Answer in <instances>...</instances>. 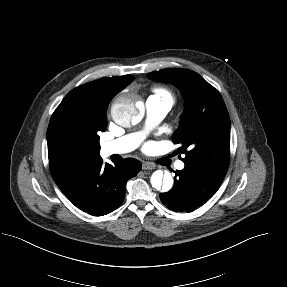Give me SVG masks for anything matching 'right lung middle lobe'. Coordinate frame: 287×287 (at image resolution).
Listing matches in <instances>:
<instances>
[{"label": "right lung middle lobe", "mask_w": 287, "mask_h": 287, "mask_svg": "<svg viewBox=\"0 0 287 287\" xmlns=\"http://www.w3.org/2000/svg\"><path fill=\"white\" fill-rule=\"evenodd\" d=\"M107 127V119L98 120L91 115H87L83 121V134L80 143L86 149L95 151L100 150L98 133L105 131Z\"/></svg>", "instance_id": "1"}]
</instances>
